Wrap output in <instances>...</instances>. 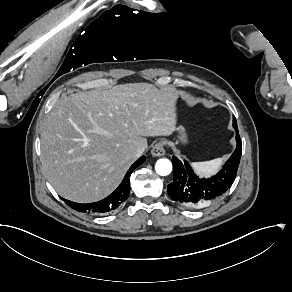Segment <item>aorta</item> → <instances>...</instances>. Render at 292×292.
<instances>
[{
    "mask_svg": "<svg viewBox=\"0 0 292 292\" xmlns=\"http://www.w3.org/2000/svg\"><path fill=\"white\" fill-rule=\"evenodd\" d=\"M155 170L161 176L169 175L172 171V163L168 159H159L156 162Z\"/></svg>",
    "mask_w": 292,
    "mask_h": 292,
    "instance_id": "762f6f07",
    "label": "aorta"
}]
</instances>
